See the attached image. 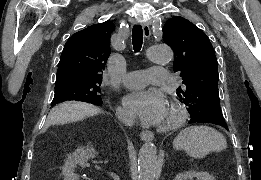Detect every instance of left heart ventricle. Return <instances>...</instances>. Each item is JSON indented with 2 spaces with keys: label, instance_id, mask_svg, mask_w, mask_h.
<instances>
[{
  "label": "left heart ventricle",
  "instance_id": "1",
  "mask_svg": "<svg viewBox=\"0 0 261 180\" xmlns=\"http://www.w3.org/2000/svg\"><path fill=\"white\" fill-rule=\"evenodd\" d=\"M168 108H169V103L167 101V103H166V105H165V107H164V109H163L162 113L160 114V117L158 118L157 121L164 122L166 120L167 114H168Z\"/></svg>",
  "mask_w": 261,
  "mask_h": 180
}]
</instances>
